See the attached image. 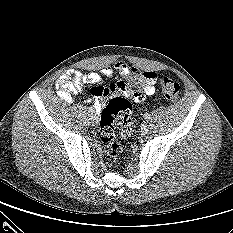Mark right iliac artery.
<instances>
[{
    "mask_svg": "<svg viewBox=\"0 0 233 233\" xmlns=\"http://www.w3.org/2000/svg\"><path fill=\"white\" fill-rule=\"evenodd\" d=\"M87 112H88V115H89V116H93V115H94V110H93L92 108H89V109L87 110Z\"/></svg>",
    "mask_w": 233,
    "mask_h": 233,
    "instance_id": "82829eb1",
    "label": "right iliac artery"
}]
</instances>
